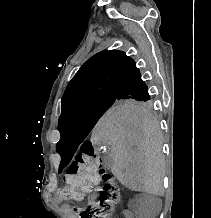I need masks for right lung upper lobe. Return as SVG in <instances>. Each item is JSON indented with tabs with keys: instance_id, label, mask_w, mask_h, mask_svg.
<instances>
[{
	"instance_id": "1",
	"label": "right lung upper lobe",
	"mask_w": 211,
	"mask_h": 218,
	"mask_svg": "<svg viewBox=\"0 0 211 218\" xmlns=\"http://www.w3.org/2000/svg\"><path fill=\"white\" fill-rule=\"evenodd\" d=\"M139 72L133 59L118 50L91 57L69 82L61 100V113L81 102L103 97H121L126 84Z\"/></svg>"
}]
</instances>
